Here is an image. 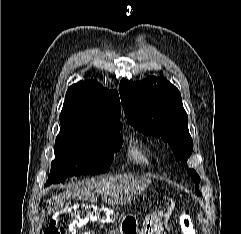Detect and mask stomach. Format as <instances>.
Listing matches in <instances>:
<instances>
[{
    "mask_svg": "<svg viewBox=\"0 0 241 234\" xmlns=\"http://www.w3.org/2000/svg\"><path fill=\"white\" fill-rule=\"evenodd\" d=\"M138 221L135 217H125L120 226V234L132 231L134 234H163L161 218L159 215H150L144 219L142 229H138Z\"/></svg>",
    "mask_w": 241,
    "mask_h": 234,
    "instance_id": "0dacf381",
    "label": "stomach"
}]
</instances>
